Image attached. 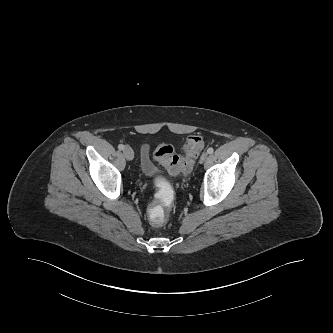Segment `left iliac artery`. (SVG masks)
<instances>
[{
  "mask_svg": "<svg viewBox=\"0 0 333 333\" xmlns=\"http://www.w3.org/2000/svg\"><path fill=\"white\" fill-rule=\"evenodd\" d=\"M214 152V149L212 147L208 148L207 153L212 154Z\"/></svg>",
  "mask_w": 333,
  "mask_h": 333,
  "instance_id": "1",
  "label": "left iliac artery"
}]
</instances>
